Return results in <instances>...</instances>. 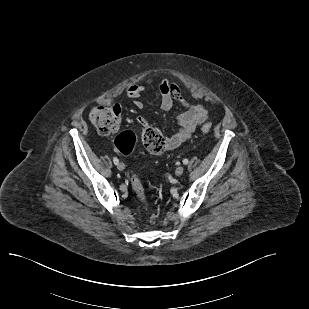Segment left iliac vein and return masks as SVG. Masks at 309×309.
<instances>
[{
    "instance_id": "4c4485c4",
    "label": "left iliac vein",
    "mask_w": 309,
    "mask_h": 309,
    "mask_svg": "<svg viewBox=\"0 0 309 309\" xmlns=\"http://www.w3.org/2000/svg\"><path fill=\"white\" fill-rule=\"evenodd\" d=\"M183 172H184V168H183L182 166L177 167L176 170H175V174H176L177 176L182 175Z\"/></svg>"
}]
</instances>
